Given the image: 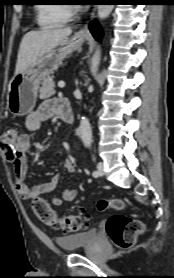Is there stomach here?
<instances>
[{
    "label": "stomach",
    "instance_id": "stomach-1",
    "mask_svg": "<svg viewBox=\"0 0 174 278\" xmlns=\"http://www.w3.org/2000/svg\"><path fill=\"white\" fill-rule=\"evenodd\" d=\"M85 40L78 34L65 38L57 48L45 53L15 75L7 87V109L13 116L30 113L36 104L40 84L62 64L63 60Z\"/></svg>",
    "mask_w": 174,
    "mask_h": 278
}]
</instances>
